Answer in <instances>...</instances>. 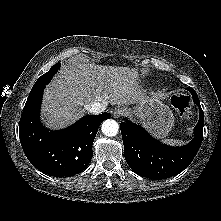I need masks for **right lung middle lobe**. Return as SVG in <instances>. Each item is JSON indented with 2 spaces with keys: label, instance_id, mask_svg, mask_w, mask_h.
<instances>
[{
  "label": "right lung middle lobe",
  "instance_id": "dd1d6c3e",
  "mask_svg": "<svg viewBox=\"0 0 221 221\" xmlns=\"http://www.w3.org/2000/svg\"><path fill=\"white\" fill-rule=\"evenodd\" d=\"M59 67H60V63H57L47 73H45L41 77H39L31 90H35V89H37V88H39L41 86H44V85L48 84L49 81L54 76V74L59 69Z\"/></svg>",
  "mask_w": 221,
  "mask_h": 221
}]
</instances>
